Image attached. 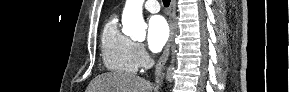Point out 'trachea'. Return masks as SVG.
<instances>
[{
	"instance_id": "trachea-1",
	"label": "trachea",
	"mask_w": 289,
	"mask_h": 92,
	"mask_svg": "<svg viewBox=\"0 0 289 92\" xmlns=\"http://www.w3.org/2000/svg\"><path fill=\"white\" fill-rule=\"evenodd\" d=\"M163 4L165 7H168L170 5V0H163Z\"/></svg>"
}]
</instances>
